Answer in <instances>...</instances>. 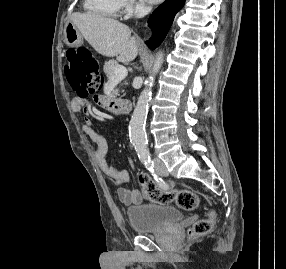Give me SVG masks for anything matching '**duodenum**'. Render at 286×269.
Masks as SVG:
<instances>
[{"instance_id":"duodenum-1","label":"duodenum","mask_w":286,"mask_h":269,"mask_svg":"<svg viewBox=\"0 0 286 269\" xmlns=\"http://www.w3.org/2000/svg\"><path fill=\"white\" fill-rule=\"evenodd\" d=\"M112 105H113V102L110 103L108 107H112ZM115 107L117 108L119 113L127 114L131 110V103L128 101L121 100L115 103Z\"/></svg>"}]
</instances>
